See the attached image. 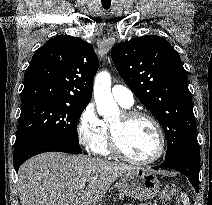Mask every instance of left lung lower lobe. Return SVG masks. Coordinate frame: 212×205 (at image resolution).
Instances as JSON below:
<instances>
[{"mask_svg":"<svg viewBox=\"0 0 212 205\" xmlns=\"http://www.w3.org/2000/svg\"><path fill=\"white\" fill-rule=\"evenodd\" d=\"M199 161L200 152L197 142L181 152L177 156L167 159L164 163L159 166L153 167L158 168H171L180 173L184 174L192 183L196 192L199 191Z\"/></svg>","mask_w":212,"mask_h":205,"instance_id":"0a47b994","label":"left lung lower lobe"}]
</instances>
